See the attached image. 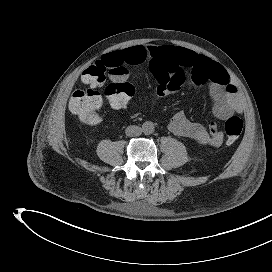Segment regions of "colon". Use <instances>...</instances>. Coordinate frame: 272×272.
<instances>
[{
	"mask_svg": "<svg viewBox=\"0 0 272 272\" xmlns=\"http://www.w3.org/2000/svg\"><path fill=\"white\" fill-rule=\"evenodd\" d=\"M114 75L104 90V93L113 108H122L127 105L135 94V87L126 80L127 70L121 66L109 68L100 62L90 65L82 74V80L87 85L85 89L73 92L69 108L82 123L93 125L100 120L102 95L99 87L104 83L106 73ZM243 130V121L237 116H232L225 122L227 144L232 145L237 141Z\"/></svg>",
	"mask_w": 272,
	"mask_h": 272,
	"instance_id": "obj_1",
	"label": "colon"
}]
</instances>
